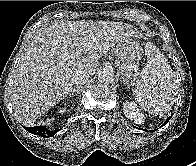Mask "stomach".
Masks as SVG:
<instances>
[{"label": "stomach", "mask_w": 196, "mask_h": 166, "mask_svg": "<svg viewBox=\"0 0 196 166\" xmlns=\"http://www.w3.org/2000/svg\"><path fill=\"white\" fill-rule=\"evenodd\" d=\"M114 52L115 56L126 66V69L132 68L142 57V49L131 37L119 42Z\"/></svg>", "instance_id": "0dacf381"}]
</instances>
